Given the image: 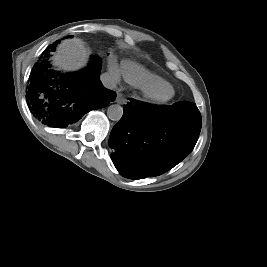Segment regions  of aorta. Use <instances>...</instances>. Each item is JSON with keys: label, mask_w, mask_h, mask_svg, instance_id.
I'll list each match as a JSON object with an SVG mask.
<instances>
[{"label": "aorta", "mask_w": 267, "mask_h": 267, "mask_svg": "<svg viewBox=\"0 0 267 267\" xmlns=\"http://www.w3.org/2000/svg\"><path fill=\"white\" fill-rule=\"evenodd\" d=\"M123 115V108L118 104H113L107 109V116L113 121H119Z\"/></svg>", "instance_id": "aorta-1"}]
</instances>
